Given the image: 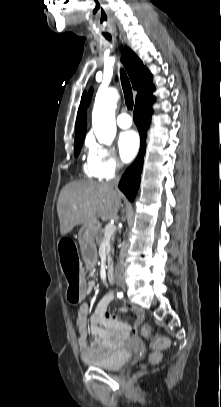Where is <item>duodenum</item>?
<instances>
[{
    "mask_svg": "<svg viewBox=\"0 0 221 407\" xmlns=\"http://www.w3.org/2000/svg\"><path fill=\"white\" fill-rule=\"evenodd\" d=\"M106 274H107V279H108L110 282H114V272H113V268H112L111 266H108V267H107V272H106Z\"/></svg>",
    "mask_w": 221,
    "mask_h": 407,
    "instance_id": "obj_1",
    "label": "duodenum"
}]
</instances>
